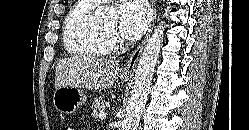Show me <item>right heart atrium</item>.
I'll return each mask as SVG.
<instances>
[{
    "mask_svg": "<svg viewBox=\"0 0 249 130\" xmlns=\"http://www.w3.org/2000/svg\"><path fill=\"white\" fill-rule=\"evenodd\" d=\"M111 41H112V43H113L114 45H116L117 42H118L117 39H116L115 37H113Z\"/></svg>",
    "mask_w": 249,
    "mask_h": 130,
    "instance_id": "d8ad5b80",
    "label": "right heart atrium"
}]
</instances>
